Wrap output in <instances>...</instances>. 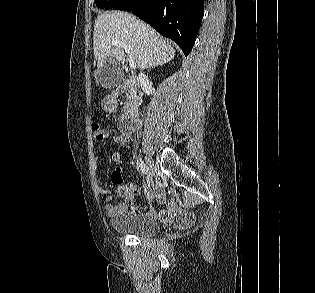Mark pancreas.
Wrapping results in <instances>:
<instances>
[{
	"instance_id": "obj_1",
	"label": "pancreas",
	"mask_w": 315,
	"mask_h": 293,
	"mask_svg": "<svg viewBox=\"0 0 315 293\" xmlns=\"http://www.w3.org/2000/svg\"><path fill=\"white\" fill-rule=\"evenodd\" d=\"M126 98L128 101L125 102L123 112H126L129 109L133 108L140 101V97L137 93V88L133 84H130L128 86V88L126 90Z\"/></svg>"
}]
</instances>
